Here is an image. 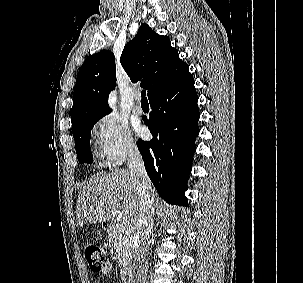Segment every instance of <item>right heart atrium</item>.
<instances>
[{"mask_svg": "<svg viewBox=\"0 0 303 283\" xmlns=\"http://www.w3.org/2000/svg\"><path fill=\"white\" fill-rule=\"evenodd\" d=\"M99 152L113 166L122 164L138 151L128 126L115 115L101 117L93 127Z\"/></svg>", "mask_w": 303, "mask_h": 283, "instance_id": "d8ad5b80", "label": "right heart atrium"}]
</instances>
